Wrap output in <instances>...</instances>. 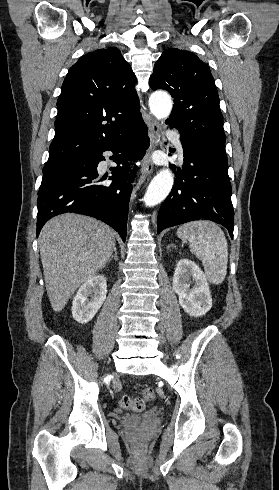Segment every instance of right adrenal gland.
<instances>
[{
	"label": "right adrenal gland",
	"instance_id": "1",
	"mask_svg": "<svg viewBox=\"0 0 279 490\" xmlns=\"http://www.w3.org/2000/svg\"><path fill=\"white\" fill-rule=\"evenodd\" d=\"M112 258H114V260H116V262H117V260H118L117 248H114V254H113V256H110L108 262H111Z\"/></svg>",
	"mask_w": 279,
	"mask_h": 490
}]
</instances>
